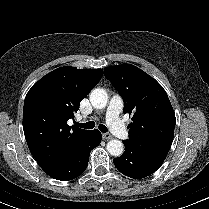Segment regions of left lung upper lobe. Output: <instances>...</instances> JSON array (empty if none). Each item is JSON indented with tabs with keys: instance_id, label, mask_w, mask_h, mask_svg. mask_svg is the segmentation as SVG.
<instances>
[{
	"instance_id": "5c2ea615",
	"label": "left lung upper lobe",
	"mask_w": 209,
	"mask_h": 209,
	"mask_svg": "<svg viewBox=\"0 0 209 209\" xmlns=\"http://www.w3.org/2000/svg\"><path fill=\"white\" fill-rule=\"evenodd\" d=\"M104 75L124 99L123 113L132 116L129 140L142 147L168 152L176 118L163 87L131 64L107 67Z\"/></svg>"
}]
</instances>
